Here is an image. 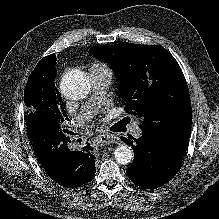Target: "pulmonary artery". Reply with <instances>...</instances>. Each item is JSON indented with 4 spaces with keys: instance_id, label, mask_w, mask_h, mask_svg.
I'll return each mask as SVG.
<instances>
[{
    "instance_id": "e3ab8cb5",
    "label": "pulmonary artery",
    "mask_w": 219,
    "mask_h": 219,
    "mask_svg": "<svg viewBox=\"0 0 219 219\" xmlns=\"http://www.w3.org/2000/svg\"><path fill=\"white\" fill-rule=\"evenodd\" d=\"M89 77L91 79L93 93L91 98L83 105L81 111L75 116L77 125H81L87 121L94 112L97 104L102 100L106 89L110 85L112 71L107 67H91L89 69ZM131 130L135 137L142 136L139 121L132 124Z\"/></svg>"
}]
</instances>
